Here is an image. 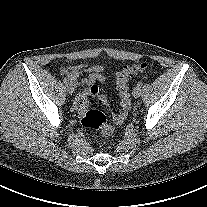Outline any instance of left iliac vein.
<instances>
[{"instance_id":"obj_1","label":"left iliac vein","mask_w":207,"mask_h":207,"mask_svg":"<svg viewBox=\"0 0 207 207\" xmlns=\"http://www.w3.org/2000/svg\"><path fill=\"white\" fill-rule=\"evenodd\" d=\"M132 94H133V97H134V98H138V97H140V95H141V89H140V87L136 86V87L133 89Z\"/></svg>"}]
</instances>
